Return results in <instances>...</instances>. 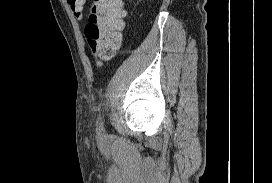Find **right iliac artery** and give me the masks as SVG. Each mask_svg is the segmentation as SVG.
Here are the masks:
<instances>
[{
	"label": "right iliac artery",
	"instance_id": "82829eb1",
	"mask_svg": "<svg viewBox=\"0 0 272 183\" xmlns=\"http://www.w3.org/2000/svg\"><path fill=\"white\" fill-rule=\"evenodd\" d=\"M97 131L99 134H103L105 131L104 126H103V122L101 121V118H99L97 121Z\"/></svg>",
	"mask_w": 272,
	"mask_h": 183
}]
</instances>
